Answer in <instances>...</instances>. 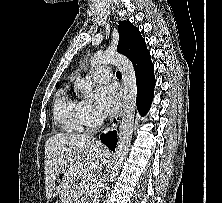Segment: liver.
<instances>
[{
	"label": "liver",
	"mask_w": 222,
	"mask_h": 203,
	"mask_svg": "<svg viewBox=\"0 0 222 203\" xmlns=\"http://www.w3.org/2000/svg\"><path fill=\"white\" fill-rule=\"evenodd\" d=\"M108 152L97 140L82 134H57L45 143V189L50 200L58 194L71 197L74 182H93L106 164ZM62 176L55 189V181ZM56 192L54 193V191Z\"/></svg>",
	"instance_id": "obj_1"
}]
</instances>
